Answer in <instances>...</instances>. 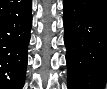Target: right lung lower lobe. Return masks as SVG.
<instances>
[{
	"mask_svg": "<svg viewBox=\"0 0 107 89\" xmlns=\"http://www.w3.org/2000/svg\"><path fill=\"white\" fill-rule=\"evenodd\" d=\"M31 0L0 1V88L22 89L32 25Z\"/></svg>",
	"mask_w": 107,
	"mask_h": 89,
	"instance_id": "1",
	"label": "right lung lower lobe"
}]
</instances>
